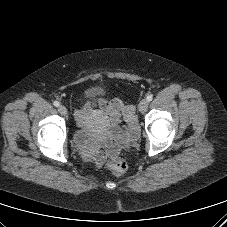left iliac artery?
Instances as JSON below:
<instances>
[{
  "instance_id": "left-iliac-artery-1",
  "label": "left iliac artery",
  "mask_w": 227,
  "mask_h": 227,
  "mask_svg": "<svg viewBox=\"0 0 227 227\" xmlns=\"http://www.w3.org/2000/svg\"><path fill=\"white\" fill-rule=\"evenodd\" d=\"M146 99H147V101H149V102H150V101H152L153 96H152V95H148Z\"/></svg>"
}]
</instances>
